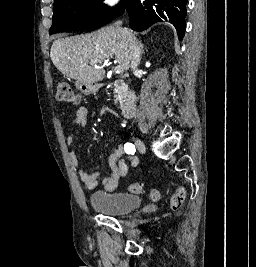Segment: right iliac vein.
<instances>
[{
	"label": "right iliac vein",
	"instance_id": "right-iliac-vein-1",
	"mask_svg": "<svg viewBox=\"0 0 256 267\" xmlns=\"http://www.w3.org/2000/svg\"><path fill=\"white\" fill-rule=\"evenodd\" d=\"M134 144L135 146L137 147V149L141 152H146V146L144 144V142L139 139V138H136L135 141H134Z\"/></svg>",
	"mask_w": 256,
	"mask_h": 267
}]
</instances>
